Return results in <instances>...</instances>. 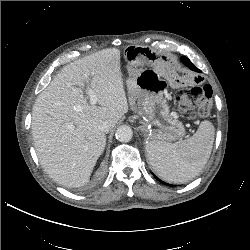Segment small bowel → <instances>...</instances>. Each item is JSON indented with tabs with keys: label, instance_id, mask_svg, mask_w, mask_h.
<instances>
[{
	"label": "small bowel",
	"instance_id": "obj_1",
	"mask_svg": "<svg viewBox=\"0 0 250 250\" xmlns=\"http://www.w3.org/2000/svg\"><path fill=\"white\" fill-rule=\"evenodd\" d=\"M127 52H128L127 55H128L130 62L135 61V59H137L139 54L146 55V53H147V56L149 58L152 56V54H149L147 51H143V50H140L138 48H130ZM201 80H202V77L200 75H194V76L187 78L186 80H181V82H183V83H191V82L200 83Z\"/></svg>",
	"mask_w": 250,
	"mask_h": 250
}]
</instances>
